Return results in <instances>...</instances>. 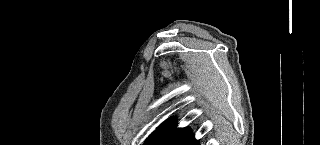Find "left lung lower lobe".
Here are the masks:
<instances>
[{
	"mask_svg": "<svg viewBox=\"0 0 320 145\" xmlns=\"http://www.w3.org/2000/svg\"><path fill=\"white\" fill-rule=\"evenodd\" d=\"M180 145H199V141L195 140L191 133L180 143Z\"/></svg>",
	"mask_w": 320,
	"mask_h": 145,
	"instance_id": "obj_1",
	"label": "left lung lower lobe"
}]
</instances>
